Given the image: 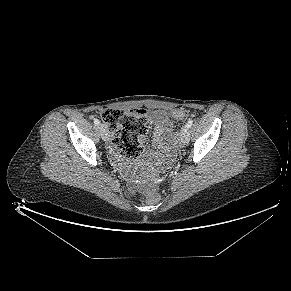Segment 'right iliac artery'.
<instances>
[{
  "mask_svg": "<svg viewBox=\"0 0 291 291\" xmlns=\"http://www.w3.org/2000/svg\"><path fill=\"white\" fill-rule=\"evenodd\" d=\"M94 124L98 126L100 125V121L98 119H94Z\"/></svg>",
  "mask_w": 291,
  "mask_h": 291,
  "instance_id": "obj_1",
  "label": "right iliac artery"
}]
</instances>
